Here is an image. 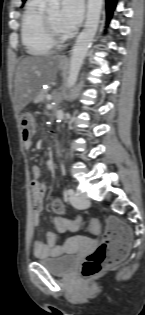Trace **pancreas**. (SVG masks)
<instances>
[{
  "instance_id": "pancreas-1",
  "label": "pancreas",
  "mask_w": 145,
  "mask_h": 315,
  "mask_svg": "<svg viewBox=\"0 0 145 315\" xmlns=\"http://www.w3.org/2000/svg\"><path fill=\"white\" fill-rule=\"evenodd\" d=\"M40 101H47V93L46 92H41L39 96Z\"/></svg>"
}]
</instances>
